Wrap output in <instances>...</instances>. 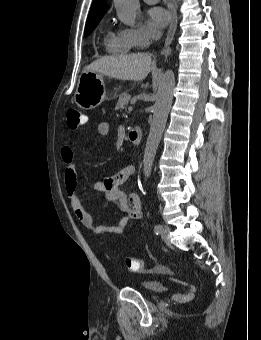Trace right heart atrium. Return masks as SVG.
I'll use <instances>...</instances> for the list:
<instances>
[{
    "label": "right heart atrium",
    "instance_id": "d8ad5b80",
    "mask_svg": "<svg viewBox=\"0 0 261 340\" xmlns=\"http://www.w3.org/2000/svg\"><path fill=\"white\" fill-rule=\"evenodd\" d=\"M135 44L136 47H146L151 39L150 31L142 24L122 30Z\"/></svg>",
    "mask_w": 261,
    "mask_h": 340
}]
</instances>
